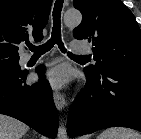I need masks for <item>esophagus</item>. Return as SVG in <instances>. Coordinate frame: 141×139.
<instances>
[{"mask_svg": "<svg viewBox=\"0 0 141 139\" xmlns=\"http://www.w3.org/2000/svg\"><path fill=\"white\" fill-rule=\"evenodd\" d=\"M54 103L58 111H62L66 105V100L63 94L58 91H55L53 94Z\"/></svg>", "mask_w": 141, "mask_h": 139, "instance_id": "esophagus-1", "label": "esophagus"}]
</instances>
